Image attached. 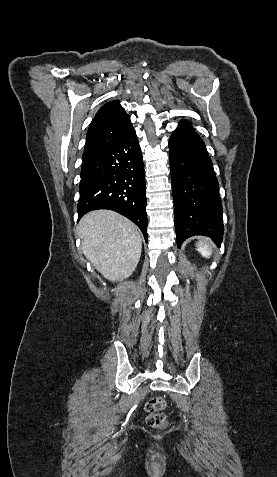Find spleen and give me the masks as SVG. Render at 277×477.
I'll return each instance as SVG.
<instances>
[{
  "instance_id": "1",
  "label": "spleen",
  "mask_w": 277,
  "mask_h": 477,
  "mask_svg": "<svg viewBox=\"0 0 277 477\" xmlns=\"http://www.w3.org/2000/svg\"><path fill=\"white\" fill-rule=\"evenodd\" d=\"M197 250L201 253L202 256L207 258L211 256L212 245L210 242H201L197 245Z\"/></svg>"
}]
</instances>
